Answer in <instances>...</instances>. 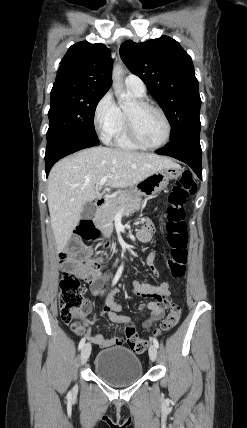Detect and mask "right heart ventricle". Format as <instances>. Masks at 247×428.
I'll return each mask as SVG.
<instances>
[{
	"instance_id": "obj_1",
	"label": "right heart ventricle",
	"mask_w": 247,
	"mask_h": 428,
	"mask_svg": "<svg viewBox=\"0 0 247 428\" xmlns=\"http://www.w3.org/2000/svg\"><path fill=\"white\" fill-rule=\"evenodd\" d=\"M131 91V90H130ZM131 93L138 99L142 98V95H138L137 93L131 91ZM120 119L117 131L113 137V142L116 147L126 150H135L140 147L131 141L128 136L126 123H125V110L119 109Z\"/></svg>"
}]
</instances>
